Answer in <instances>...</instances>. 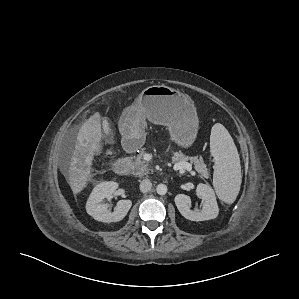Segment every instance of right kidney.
Segmentation results:
<instances>
[{
  "mask_svg": "<svg viewBox=\"0 0 299 299\" xmlns=\"http://www.w3.org/2000/svg\"><path fill=\"white\" fill-rule=\"evenodd\" d=\"M118 188V183L105 181L97 184L86 203V211L95 220L111 223L121 221L132 206L131 200H120L113 212L108 210V205L104 199L111 200L114 192Z\"/></svg>",
  "mask_w": 299,
  "mask_h": 299,
  "instance_id": "right-kidney-1",
  "label": "right kidney"
}]
</instances>
